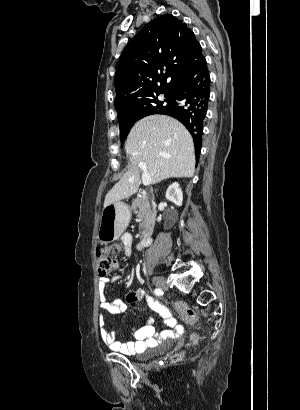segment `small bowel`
Listing matches in <instances>:
<instances>
[{
    "instance_id": "small-bowel-1",
    "label": "small bowel",
    "mask_w": 300,
    "mask_h": 410,
    "mask_svg": "<svg viewBox=\"0 0 300 410\" xmlns=\"http://www.w3.org/2000/svg\"><path fill=\"white\" fill-rule=\"evenodd\" d=\"M125 245H128L127 238L123 239ZM119 278V275L100 276L99 278V292H100V308L111 314H122L126 311L127 306L133 304L139 299L146 300L149 308L158 313L163 319L167 327L160 335L156 333L153 321L148 319L144 321L137 328H133L134 340L127 342H120L116 340L115 333L106 328L104 318L99 319L100 337L102 341L113 351H117L124 355L135 354L144 351L149 347L155 346L160 339L174 337L178 334L179 325L177 321L171 316L169 310L149 296L144 290L137 289L130 292L125 300L122 299H106L104 289L110 282H114Z\"/></svg>"
}]
</instances>
